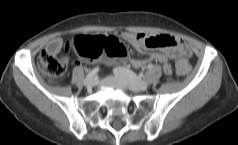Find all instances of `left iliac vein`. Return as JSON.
Wrapping results in <instances>:
<instances>
[{
	"label": "left iliac vein",
	"mask_w": 238,
	"mask_h": 145,
	"mask_svg": "<svg viewBox=\"0 0 238 145\" xmlns=\"http://www.w3.org/2000/svg\"><path fill=\"white\" fill-rule=\"evenodd\" d=\"M114 74L122 82V84L131 91H142L148 87L147 81L140 79L132 71L124 67L114 68Z\"/></svg>",
	"instance_id": "obj_1"
}]
</instances>
